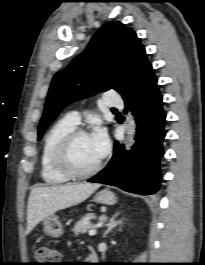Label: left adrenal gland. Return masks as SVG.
Segmentation results:
<instances>
[{
	"label": "left adrenal gland",
	"instance_id": "a2214340",
	"mask_svg": "<svg viewBox=\"0 0 205 265\" xmlns=\"http://www.w3.org/2000/svg\"><path fill=\"white\" fill-rule=\"evenodd\" d=\"M119 212H116L109 220V222L106 224L107 229L103 234V237H106V235L113 229L115 228L118 224L121 223V220L116 221L115 218L118 216Z\"/></svg>",
	"mask_w": 205,
	"mask_h": 265
}]
</instances>
